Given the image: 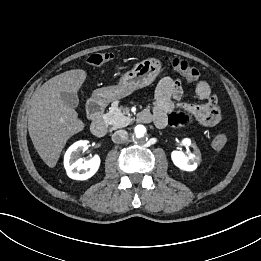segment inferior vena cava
<instances>
[{"mask_svg": "<svg viewBox=\"0 0 261 261\" xmlns=\"http://www.w3.org/2000/svg\"><path fill=\"white\" fill-rule=\"evenodd\" d=\"M128 133L125 130H118L112 134V141L117 144L124 143L127 140Z\"/></svg>", "mask_w": 261, "mask_h": 261, "instance_id": "1", "label": "inferior vena cava"}]
</instances>
